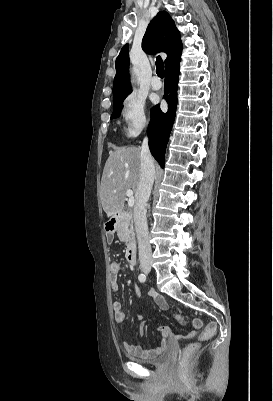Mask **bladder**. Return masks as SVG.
<instances>
[{
  "instance_id": "obj_1",
  "label": "bladder",
  "mask_w": 273,
  "mask_h": 401,
  "mask_svg": "<svg viewBox=\"0 0 273 401\" xmlns=\"http://www.w3.org/2000/svg\"><path fill=\"white\" fill-rule=\"evenodd\" d=\"M132 360L144 364V365H149V366H154V367H162L168 364L172 358V352L171 350H166L163 354H161L157 359L152 360V361H146V360H140L136 357H130Z\"/></svg>"
}]
</instances>
